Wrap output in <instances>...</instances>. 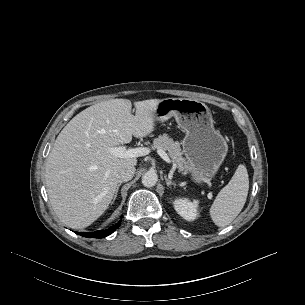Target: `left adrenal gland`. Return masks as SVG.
Instances as JSON below:
<instances>
[{
	"instance_id": "left-adrenal-gland-1",
	"label": "left adrenal gland",
	"mask_w": 305,
	"mask_h": 305,
	"mask_svg": "<svg viewBox=\"0 0 305 305\" xmlns=\"http://www.w3.org/2000/svg\"><path fill=\"white\" fill-rule=\"evenodd\" d=\"M165 178V181H166V184H167V187L170 188L172 185L175 186V182H173L170 178L168 177H164Z\"/></svg>"
}]
</instances>
